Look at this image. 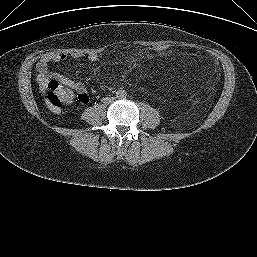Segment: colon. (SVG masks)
<instances>
[{
  "mask_svg": "<svg viewBox=\"0 0 257 257\" xmlns=\"http://www.w3.org/2000/svg\"><path fill=\"white\" fill-rule=\"evenodd\" d=\"M154 50L158 53H165L168 50V46L165 44H159L154 47ZM45 100L48 107L54 111H60L63 107L69 106L74 103L78 98L81 102L83 100L79 95L76 96L71 90L63 87L57 80L51 79L43 85Z\"/></svg>",
  "mask_w": 257,
  "mask_h": 257,
  "instance_id": "colon-1",
  "label": "colon"
}]
</instances>
